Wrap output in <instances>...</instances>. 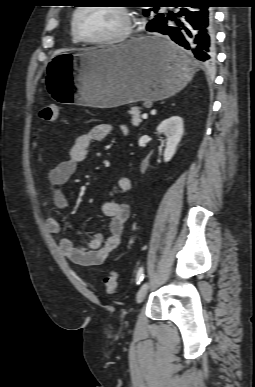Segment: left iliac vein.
I'll return each instance as SVG.
<instances>
[{
  "instance_id": "4c4485c4",
  "label": "left iliac vein",
  "mask_w": 255,
  "mask_h": 387,
  "mask_svg": "<svg viewBox=\"0 0 255 387\" xmlns=\"http://www.w3.org/2000/svg\"><path fill=\"white\" fill-rule=\"evenodd\" d=\"M148 289H149V283L148 282H145V283H143L140 286V288H139V290L137 292V296H136V299H137L138 303H141L145 299V297L147 295V292H148Z\"/></svg>"
}]
</instances>
